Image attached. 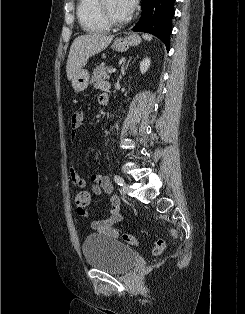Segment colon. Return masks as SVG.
<instances>
[{"instance_id":"1","label":"colon","mask_w":245,"mask_h":314,"mask_svg":"<svg viewBox=\"0 0 245 314\" xmlns=\"http://www.w3.org/2000/svg\"><path fill=\"white\" fill-rule=\"evenodd\" d=\"M91 195L88 191L83 190L76 194L75 196V204L77 206L78 213H86L88 211V206L90 204ZM171 233L174 237L177 236L175 230H171ZM122 240L128 244L135 245L137 240L135 237L128 233H124L122 235ZM165 242L162 240H157L153 245V253L160 254L165 249Z\"/></svg>"}]
</instances>
